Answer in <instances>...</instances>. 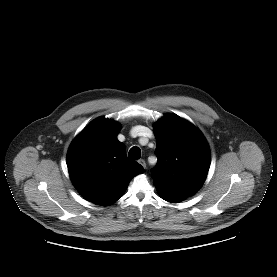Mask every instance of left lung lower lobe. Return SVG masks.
<instances>
[{
    "label": "left lung lower lobe",
    "mask_w": 277,
    "mask_h": 277,
    "mask_svg": "<svg viewBox=\"0 0 277 277\" xmlns=\"http://www.w3.org/2000/svg\"><path fill=\"white\" fill-rule=\"evenodd\" d=\"M158 193L164 200H166L168 202H172V203H177V202H180V201L185 199V198H182V197H179V196L170 195V194L162 193V192H159V191H158Z\"/></svg>",
    "instance_id": "1"
}]
</instances>
